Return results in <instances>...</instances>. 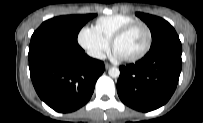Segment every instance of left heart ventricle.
I'll return each mask as SVG.
<instances>
[{
    "instance_id": "left-heart-ventricle-1",
    "label": "left heart ventricle",
    "mask_w": 203,
    "mask_h": 123,
    "mask_svg": "<svg viewBox=\"0 0 203 123\" xmlns=\"http://www.w3.org/2000/svg\"><path fill=\"white\" fill-rule=\"evenodd\" d=\"M147 43V33L142 26H137L122 37L115 46L121 57H130L141 52Z\"/></svg>"
}]
</instances>
